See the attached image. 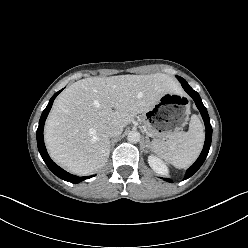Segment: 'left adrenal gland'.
Returning a JSON list of instances; mask_svg holds the SVG:
<instances>
[{
  "instance_id": "1",
  "label": "left adrenal gland",
  "mask_w": 248,
  "mask_h": 248,
  "mask_svg": "<svg viewBox=\"0 0 248 248\" xmlns=\"http://www.w3.org/2000/svg\"><path fill=\"white\" fill-rule=\"evenodd\" d=\"M146 141H147V147L150 148V141L148 137H146Z\"/></svg>"
}]
</instances>
